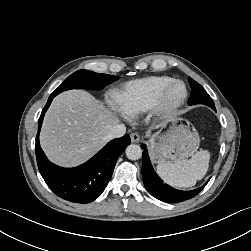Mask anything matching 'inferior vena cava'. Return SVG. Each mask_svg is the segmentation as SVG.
I'll list each match as a JSON object with an SVG mask.
<instances>
[{
    "label": "inferior vena cava",
    "mask_w": 251,
    "mask_h": 251,
    "mask_svg": "<svg viewBox=\"0 0 251 251\" xmlns=\"http://www.w3.org/2000/svg\"><path fill=\"white\" fill-rule=\"evenodd\" d=\"M125 133H126L125 125L124 124H116L109 131L106 139L110 140V139H113V138H119V137H122Z\"/></svg>",
    "instance_id": "1"
}]
</instances>
